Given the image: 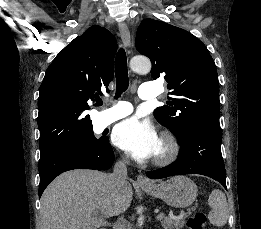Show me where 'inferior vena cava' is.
<instances>
[{
  "label": "inferior vena cava",
  "mask_w": 261,
  "mask_h": 229,
  "mask_svg": "<svg viewBox=\"0 0 261 229\" xmlns=\"http://www.w3.org/2000/svg\"><path fill=\"white\" fill-rule=\"evenodd\" d=\"M127 161L122 159V161H118L115 163L113 173L108 175V183L110 189H112L114 195H117L118 191H120L121 187L126 185L127 181ZM120 221H124L123 217H121ZM116 229H122V225L120 227H116Z\"/></svg>",
  "instance_id": "inferior-vena-cava-1"
}]
</instances>
